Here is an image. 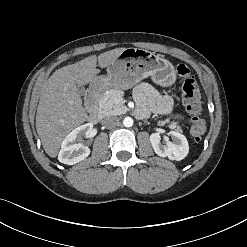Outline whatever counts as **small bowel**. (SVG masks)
Segmentation results:
<instances>
[{
    "instance_id": "obj_1",
    "label": "small bowel",
    "mask_w": 247,
    "mask_h": 247,
    "mask_svg": "<svg viewBox=\"0 0 247 247\" xmlns=\"http://www.w3.org/2000/svg\"><path fill=\"white\" fill-rule=\"evenodd\" d=\"M134 98L137 102V115L145 117L149 112L169 114L173 109V100L160 94L149 83H141L134 90Z\"/></svg>"
}]
</instances>
